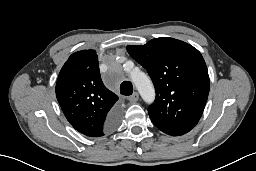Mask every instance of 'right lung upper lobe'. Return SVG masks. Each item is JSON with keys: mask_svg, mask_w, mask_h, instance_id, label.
Masks as SVG:
<instances>
[{"mask_svg": "<svg viewBox=\"0 0 256 171\" xmlns=\"http://www.w3.org/2000/svg\"><path fill=\"white\" fill-rule=\"evenodd\" d=\"M56 97L69 123L89 137L104 136L106 121L117 108L118 96L103 84L94 50L72 54L63 65L56 84Z\"/></svg>", "mask_w": 256, "mask_h": 171, "instance_id": "1", "label": "right lung upper lobe"}]
</instances>
